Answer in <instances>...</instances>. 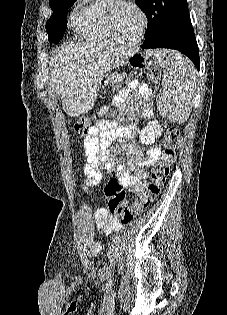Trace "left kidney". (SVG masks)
<instances>
[{
	"label": "left kidney",
	"mask_w": 227,
	"mask_h": 315,
	"mask_svg": "<svg viewBox=\"0 0 227 315\" xmlns=\"http://www.w3.org/2000/svg\"><path fill=\"white\" fill-rule=\"evenodd\" d=\"M162 131L163 129H161L158 121H150L147 126L139 132L140 140L146 145L153 144L155 142V138L161 136Z\"/></svg>",
	"instance_id": "5707ae66"
}]
</instances>
